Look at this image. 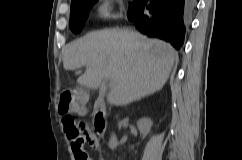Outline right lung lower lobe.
I'll return each mask as SVG.
<instances>
[{
    "instance_id": "98d812e1",
    "label": "right lung lower lobe",
    "mask_w": 242,
    "mask_h": 160,
    "mask_svg": "<svg viewBox=\"0 0 242 160\" xmlns=\"http://www.w3.org/2000/svg\"><path fill=\"white\" fill-rule=\"evenodd\" d=\"M136 0L128 10V19L136 28L152 37H158L177 50L195 9L197 0ZM144 8L149 10L143 14Z\"/></svg>"
}]
</instances>
